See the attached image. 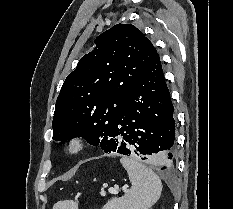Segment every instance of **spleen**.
I'll return each instance as SVG.
<instances>
[{
	"mask_svg": "<svg viewBox=\"0 0 233 209\" xmlns=\"http://www.w3.org/2000/svg\"><path fill=\"white\" fill-rule=\"evenodd\" d=\"M120 162L128 173L132 187L124 196L110 200L103 209H150L161 195L160 178L133 158L122 157ZM53 209H76V203L71 200L59 201Z\"/></svg>",
	"mask_w": 233,
	"mask_h": 209,
	"instance_id": "3e777b00",
	"label": "spleen"
}]
</instances>
